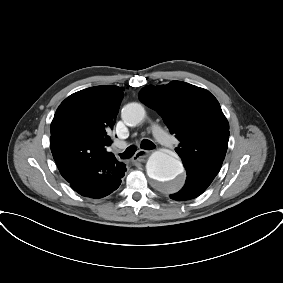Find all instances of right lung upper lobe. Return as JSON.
<instances>
[{
    "instance_id": "1",
    "label": "right lung upper lobe",
    "mask_w": 283,
    "mask_h": 283,
    "mask_svg": "<svg viewBox=\"0 0 283 283\" xmlns=\"http://www.w3.org/2000/svg\"><path fill=\"white\" fill-rule=\"evenodd\" d=\"M123 91L96 86L78 91L58 107L51 123V151L66 181L103 160H116L110 146Z\"/></svg>"
}]
</instances>
